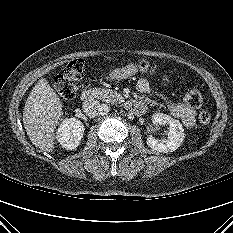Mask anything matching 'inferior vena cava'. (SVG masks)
<instances>
[{
	"instance_id": "obj_1",
	"label": "inferior vena cava",
	"mask_w": 233,
	"mask_h": 233,
	"mask_svg": "<svg viewBox=\"0 0 233 233\" xmlns=\"http://www.w3.org/2000/svg\"><path fill=\"white\" fill-rule=\"evenodd\" d=\"M83 111L88 115L90 118H95L98 114H101L102 104L99 103L97 100H89L83 103Z\"/></svg>"
}]
</instances>
